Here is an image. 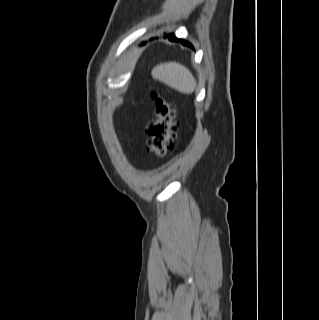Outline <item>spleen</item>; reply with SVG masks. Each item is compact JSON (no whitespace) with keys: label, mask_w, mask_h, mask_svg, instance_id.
Masks as SVG:
<instances>
[{"label":"spleen","mask_w":319,"mask_h":320,"mask_svg":"<svg viewBox=\"0 0 319 320\" xmlns=\"http://www.w3.org/2000/svg\"><path fill=\"white\" fill-rule=\"evenodd\" d=\"M152 77L184 94L196 89V80L189 69L177 62H166L155 66Z\"/></svg>","instance_id":"3e777b00"}]
</instances>
